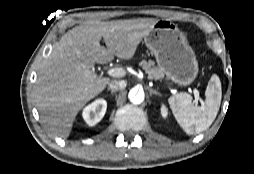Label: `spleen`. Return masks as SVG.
<instances>
[{"label": "spleen", "mask_w": 254, "mask_h": 174, "mask_svg": "<svg viewBox=\"0 0 254 174\" xmlns=\"http://www.w3.org/2000/svg\"><path fill=\"white\" fill-rule=\"evenodd\" d=\"M205 97V102L201 106L194 105L188 93H178L168 100L175 119L188 135L199 134L207 130L218 114L222 90L217 75L211 77Z\"/></svg>", "instance_id": "3e777b00"}]
</instances>
